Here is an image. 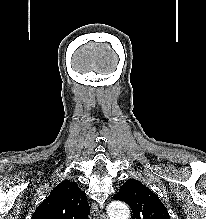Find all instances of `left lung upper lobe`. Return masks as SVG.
Here are the masks:
<instances>
[{
    "mask_svg": "<svg viewBox=\"0 0 206 219\" xmlns=\"http://www.w3.org/2000/svg\"><path fill=\"white\" fill-rule=\"evenodd\" d=\"M114 199L124 201L131 207L133 219H170L158 196L138 180L126 181Z\"/></svg>",
    "mask_w": 206,
    "mask_h": 219,
    "instance_id": "5c2ea615",
    "label": "left lung upper lobe"
}]
</instances>
